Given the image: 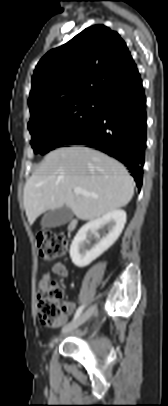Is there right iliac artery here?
Returning a JSON list of instances; mask_svg holds the SVG:
<instances>
[{
	"instance_id": "1",
	"label": "right iliac artery",
	"mask_w": 168,
	"mask_h": 406,
	"mask_svg": "<svg viewBox=\"0 0 168 406\" xmlns=\"http://www.w3.org/2000/svg\"><path fill=\"white\" fill-rule=\"evenodd\" d=\"M83 309H84V306H83V305L80 306V307L77 309V311H76V313H75L74 318H73L72 321H75V320L80 316V314L82 313Z\"/></svg>"
}]
</instances>
